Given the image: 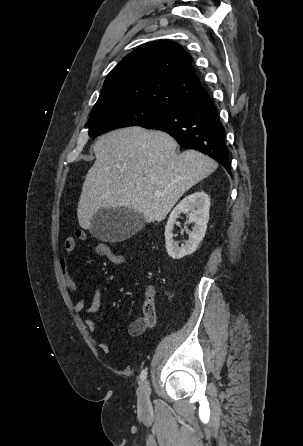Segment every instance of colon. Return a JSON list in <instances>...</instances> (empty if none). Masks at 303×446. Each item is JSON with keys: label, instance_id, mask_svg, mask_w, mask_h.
<instances>
[{"label": "colon", "instance_id": "obj_1", "mask_svg": "<svg viewBox=\"0 0 303 446\" xmlns=\"http://www.w3.org/2000/svg\"><path fill=\"white\" fill-rule=\"evenodd\" d=\"M97 254L112 263H121L125 259L124 254L113 252L109 246L104 243H100V248Z\"/></svg>", "mask_w": 303, "mask_h": 446}]
</instances>
